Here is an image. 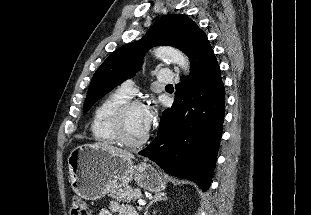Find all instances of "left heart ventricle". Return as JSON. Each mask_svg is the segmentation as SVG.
<instances>
[{
  "label": "left heart ventricle",
  "mask_w": 311,
  "mask_h": 215,
  "mask_svg": "<svg viewBox=\"0 0 311 215\" xmlns=\"http://www.w3.org/2000/svg\"><path fill=\"white\" fill-rule=\"evenodd\" d=\"M144 108L131 109L125 118L126 134L132 140H139L145 136L142 126V115Z\"/></svg>",
  "instance_id": "b2bd125f"
}]
</instances>
